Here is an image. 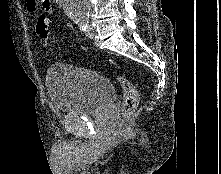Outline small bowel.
I'll use <instances>...</instances> for the list:
<instances>
[{
    "instance_id": "1",
    "label": "small bowel",
    "mask_w": 221,
    "mask_h": 174,
    "mask_svg": "<svg viewBox=\"0 0 221 174\" xmlns=\"http://www.w3.org/2000/svg\"><path fill=\"white\" fill-rule=\"evenodd\" d=\"M41 6L45 13H51L53 10L51 0H41ZM25 7L28 13L34 14L38 10V2L37 0H26Z\"/></svg>"
}]
</instances>
